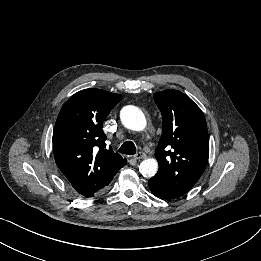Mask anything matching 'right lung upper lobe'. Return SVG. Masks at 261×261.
<instances>
[{
	"label": "right lung upper lobe",
	"instance_id": "1",
	"mask_svg": "<svg viewBox=\"0 0 261 261\" xmlns=\"http://www.w3.org/2000/svg\"><path fill=\"white\" fill-rule=\"evenodd\" d=\"M122 96L101 89H85L62 107L53 131L55 162L83 197L101 193L127 160L105 149L102 123Z\"/></svg>",
	"mask_w": 261,
	"mask_h": 261
}]
</instances>
